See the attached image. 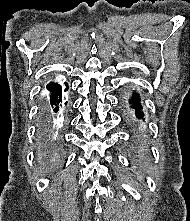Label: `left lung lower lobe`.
I'll list each match as a JSON object with an SVG mask.
<instances>
[{
    "label": "left lung lower lobe",
    "mask_w": 190,
    "mask_h": 221,
    "mask_svg": "<svg viewBox=\"0 0 190 221\" xmlns=\"http://www.w3.org/2000/svg\"><path fill=\"white\" fill-rule=\"evenodd\" d=\"M140 97L138 96L137 93H134L132 98L129 100L130 104L132 105V108L135 109V115L138 119H141L143 117L142 113L140 112L141 110V105H140Z\"/></svg>",
    "instance_id": "left-lung-lower-lobe-1"
}]
</instances>
